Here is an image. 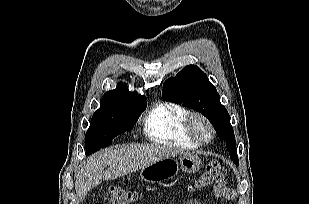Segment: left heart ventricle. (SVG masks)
Wrapping results in <instances>:
<instances>
[{
	"label": "left heart ventricle",
	"instance_id": "obj_1",
	"mask_svg": "<svg viewBox=\"0 0 309 204\" xmlns=\"http://www.w3.org/2000/svg\"><path fill=\"white\" fill-rule=\"evenodd\" d=\"M194 128H195V132L197 133V135L202 138V139H207L209 137V129L206 126L205 123H203L202 121H196L194 124Z\"/></svg>",
	"mask_w": 309,
	"mask_h": 204
}]
</instances>
